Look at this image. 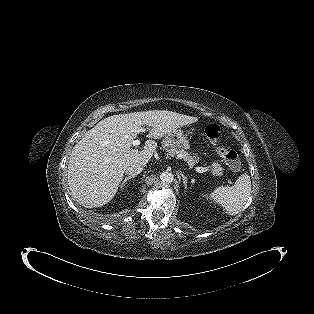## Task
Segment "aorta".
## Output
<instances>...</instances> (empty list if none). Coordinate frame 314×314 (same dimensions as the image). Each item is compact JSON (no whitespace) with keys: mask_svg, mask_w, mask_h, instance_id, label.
I'll return each instance as SVG.
<instances>
[{"mask_svg":"<svg viewBox=\"0 0 314 314\" xmlns=\"http://www.w3.org/2000/svg\"><path fill=\"white\" fill-rule=\"evenodd\" d=\"M160 179L163 183H172L174 180V175L172 172L165 171L160 174Z\"/></svg>","mask_w":314,"mask_h":314,"instance_id":"1","label":"aorta"}]
</instances>
